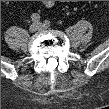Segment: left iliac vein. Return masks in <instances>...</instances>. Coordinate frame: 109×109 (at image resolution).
<instances>
[{
    "mask_svg": "<svg viewBox=\"0 0 109 109\" xmlns=\"http://www.w3.org/2000/svg\"><path fill=\"white\" fill-rule=\"evenodd\" d=\"M38 25L40 26V28H43V29L49 28V26L46 25L45 23H38Z\"/></svg>",
    "mask_w": 109,
    "mask_h": 109,
    "instance_id": "1",
    "label": "left iliac vein"
}]
</instances>
